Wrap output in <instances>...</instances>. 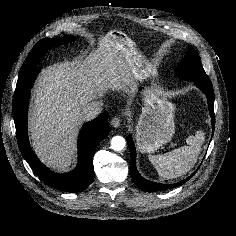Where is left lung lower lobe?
<instances>
[{"label": "left lung lower lobe", "mask_w": 236, "mask_h": 236, "mask_svg": "<svg viewBox=\"0 0 236 236\" xmlns=\"http://www.w3.org/2000/svg\"><path fill=\"white\" fill-rule=\"evenodd\" d=\"M196 86H198L205 94L208 99L209 111L211 116L212 123V132H214L215 127V118H214V90L209 79L193 81ZM128 145L131 153V162H130V172L132 175L133 182L143 191L153 192L161 191L165 189H171L183 185L188 181L196 172H194L190 177L175 183V184H160L155 182H150L144 179L137 171L136 168V150L132 137L128 136Z\"/></svg>", "instance_id": "1"}]
</instances>
